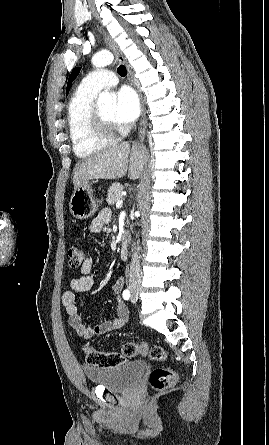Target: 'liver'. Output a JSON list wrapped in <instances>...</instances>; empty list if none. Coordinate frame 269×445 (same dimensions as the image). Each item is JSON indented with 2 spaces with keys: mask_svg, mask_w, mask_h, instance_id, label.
Listing matches in <instances>:
<instances>
[{
  "mask_svg": "<svg viewBox=\"0 0 269 445\" xmlns=\"http://www.w3.org/2000/svg\"><path fill=\"white\" fill-rule=\"evenodd\" d=\"M146 162L147 151L144 146L134 144L131 148L128 142L114 144L85 159L76 168L73 175L74 189L88 180L119 179L127 172L130 179H138Z\"/></svg>",
  "mask_w": 269,
  "mask_h": 445,
  "instance_id": "obj_1",
  "label": "liver"
}]
</instances>
